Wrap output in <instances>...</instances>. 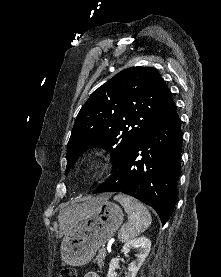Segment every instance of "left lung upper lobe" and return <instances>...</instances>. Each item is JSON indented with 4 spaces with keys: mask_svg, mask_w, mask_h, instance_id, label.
Segmentation results:
<instances>
[{
    "mask_svg": "<svg viewBox=\"0 0 221 277\" xmlns=\"http://www.w3.org/2000/svg\"><path fill=\"white\" fill-rule=\"evenodd\" d=\"M173 103L155 68L119 72L95 90L79 111L67 145V167L86 148L98 146L110 151L113 173L133 144Z\"/></svg>",
    "mask_w": 221,
    "mask_h": 277,
    "instance_id": "obj_1",
    "label": "left lung upper lobe"
}]
</instances>
